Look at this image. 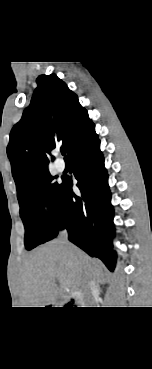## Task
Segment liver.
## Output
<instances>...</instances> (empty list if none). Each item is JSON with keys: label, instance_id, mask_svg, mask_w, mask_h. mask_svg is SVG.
I'll return each mask as SVG.
<instances>
[{"label": "liver", "instance_id": "6515ba94", "mask_svg": "<svg viewBox=\"0 0 152 369\" xmlns=\"http://www.w3.org/2000/svg\"><path fill=\"white\" fill-rule=\"evenodd\" d=\"M102 273L100 261L89 257L60 238L37 248L26 257L20 273L22 307H46L55 303L57 280L72 290H83L91 279Z\"/></svg>", "mask_w": 152, "mask_h": 369}]
</instances>
